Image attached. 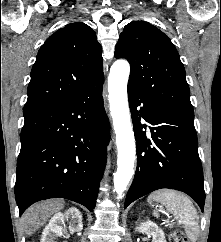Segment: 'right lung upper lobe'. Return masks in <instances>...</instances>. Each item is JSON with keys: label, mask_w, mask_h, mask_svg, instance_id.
I'll list each match as a JSON object with an SVG mask.
<instances>
[{"label": "right lung upper lobe", "mask_w": 221, "mask_h": 242, "mask_svg": "<svg viewBox=\"0 0 221 242\" xmlns=\"http://www.w3.org/2000/svg\"><path fill=\"white\" fill-rule=\"evenodd\" d=\"M103 77L101 46L94 30L85 23L68 24L41 46L23 112L62 103Z\"/></svg>", "instance_id": "right-lung-upper-lobe-1"}]
</instances>
